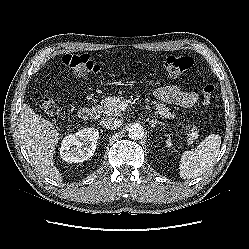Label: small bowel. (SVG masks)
Here are the masks:
<instances>
[{"mask_svg": "<svg viewBox=\"0 0 249 249\" xmlns=\"http://www.w3.org/2000/svg\"><path fill=\"white\" fill-rule=\"evenodd\" d=\"M153 95L160 101L182 107H191L198 100L197 93L186 91L177 85L159 87L153 92Z\"/></svg>", "mask_w": 249, "mask_h": 249, "instance_id": "c3829d8e", "label": "small bowel"}]
</instances>
